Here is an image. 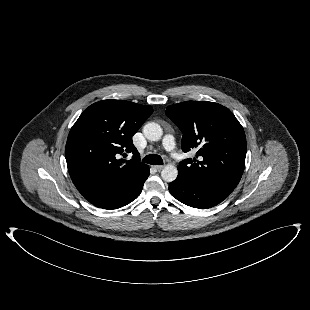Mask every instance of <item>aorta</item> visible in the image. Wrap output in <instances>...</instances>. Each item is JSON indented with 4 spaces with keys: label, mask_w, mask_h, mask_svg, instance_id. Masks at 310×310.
<instances>
[{
    "label": "aorta",
    "mask_w": 310,
    "mask_h": 310,
    "mask_svg": "<svg viewBox=\"0 0 310 310\" xmlns=\"http://www.w3.org/2000/svg\"><path fill=\"white\" fill-rule=\"evenodd\" d=\"M144 136L150 141H158L161 139L163 130L161 126L155 122H149L143 127ZM178 170L172 164L166 165L161 171V177L166 182H172L177 178Z\"/></svg>",
    "instance_id": "obj_1"
}]
</instances>
